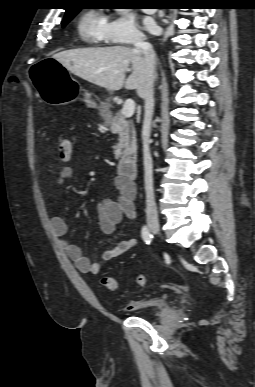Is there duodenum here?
Returning <instances> with one entry per match:
<instances>
[{"label":"duodenum","instance_id":"410a0bca","mask_svg":"<svg viewBox=\"0 0 255 387\" xmlns=\"http://www.w3.org/2000/svg\"><path fill=\"white\" fill-rule=\"evenodd\" d=\"M118 171L122 178L132 182L138 175L137 159L133 156H125L118 163Z\"/></svg>","mask_w":255,"mask_h":387}]
</instances>
